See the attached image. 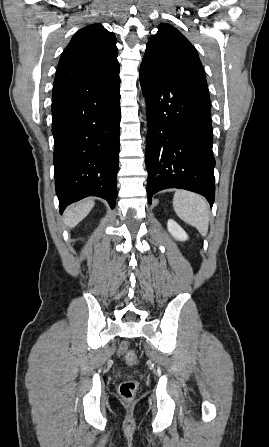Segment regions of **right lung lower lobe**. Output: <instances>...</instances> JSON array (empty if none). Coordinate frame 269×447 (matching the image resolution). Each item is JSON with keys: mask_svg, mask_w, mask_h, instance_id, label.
Returning <instances> with one entry per match:
<instances>
[{"mask_svg": "<svg viewBox=\"0 0 269 447\" xmlns=\"http://www.w3.org/2000/svg\"><path fill=\"white\" fill-rule=\"evenodd\" d=\"M119 70L94 80L54 85L53 163L60 212L87 196L117 198Z\"/></svg>", "mask_w": 269, "mask_h": 447, "instance_id": "1", "label": "right lung lower lobe"}]
</instances>
